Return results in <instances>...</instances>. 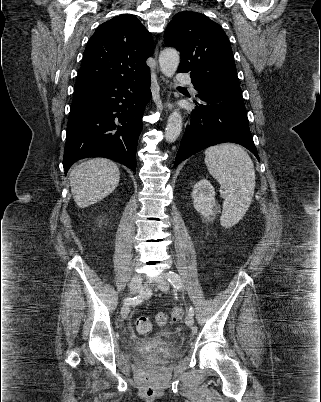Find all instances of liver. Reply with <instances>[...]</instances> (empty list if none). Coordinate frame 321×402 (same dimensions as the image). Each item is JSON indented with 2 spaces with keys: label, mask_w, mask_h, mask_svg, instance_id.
<instances>
[{
  "label": "liver",
  "mask_w": 321,
  "mask_h": 402,
  "mask_svg": "<svg viewBox=\"0 0 321 402\" xmlns=\"http://www.w3.org/2000/svg\"><path fill=\"white\" fill-rule=\"evenodd\" d=\"M69 179L75 203L78 207L85 208L115 190L120 180V171L114 162L94 158L74 167Z\"/></svg>",
  "instance_id": "liver-1"
}]
</instances>
